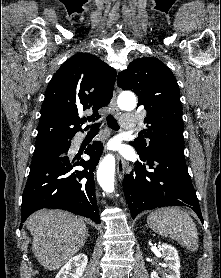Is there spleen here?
Returning <instances> with one entry per match:
<instances>
[{
  "mask_svg": "<svg viewBox=\"0 0 221 278\" xmlns=\"http://www.w3.org/2000/svg\"><path fill=\"white\" fill-rule=\"evenodd\" d=\"M147 223L154 232L177 241L189 251L198 249L197 227L190 215L178 207H164L151 212Z\"/></svg>",
  "mask_w": 221,
  "mask_h": 278,
  "instance_id": "3e777b00",
  "label": "spleen"
}]
</instances>
